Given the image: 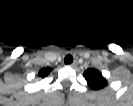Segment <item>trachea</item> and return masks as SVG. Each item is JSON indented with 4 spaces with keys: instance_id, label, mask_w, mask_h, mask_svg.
Here are the masks:
<instances>
[{
    "instance_id": "1",
    "label": "trachea",
    "mask_w": 133,
    "mask_h": 106,
    "mask_svg": "<svg viewBox=\"0 0 133 106\" xmlns=\"http://www.w3.org/2000/svg\"><path fill=\"white\" fill-rule=\"evenodd\" d=\"M73 62V57L71 55H67L64 58V63L65 64H71Z\"/></svg>"
}]
</instances>
